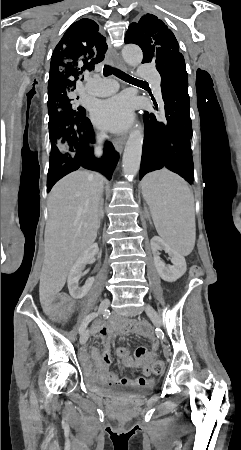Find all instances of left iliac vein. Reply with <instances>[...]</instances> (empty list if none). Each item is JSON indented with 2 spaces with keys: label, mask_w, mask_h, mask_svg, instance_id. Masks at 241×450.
Returning a JSON list of instances; mask_svg holds the SVG:
<instances>
[{
  "label": "left iliac vein",
  "mask_w": 241,
  "mask_h": 450,
  "mask_svg": "<svg viewBox=\"0 0 241 450\" xmlns=\"http://www.w3.org/2000/svg\"><path fill=\"white\" fill-rule=\"evenodd\" d=\"M145 310H146L147 315L152 319L153 322H155L159 326L162 325V321H161L158 313L151 305H149V304L146 305Z\"/></svg>",
  "instance_id": "1"
}]
</instances>
